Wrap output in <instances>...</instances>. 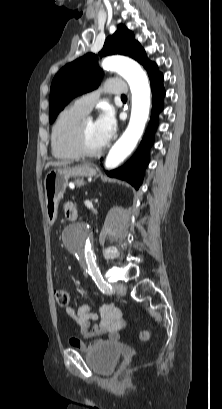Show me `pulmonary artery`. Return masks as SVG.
Returning <instances> with one entry per match:
<instances>
[{
    "mask_svg": "<svg viewBox=\"0 0 222 409\" xmlns=\"http://www.w3.org/2000/svg\"><path fill=\"white\" fill-rule=\"evenodd\" d=\"M127 92V88L125 84H105L98 90L89 92L84 94L83 96L79 97L75 103L78 107L86 111L87 113L92 110L94 105L100 98L102 93H113V94H125Z\"/></svg>",
    "mask_w": 222,
    "mask_h": 409,
    "instance_id": "obj_1",
    "label": "pulmonary artery"
}]
</instances>
